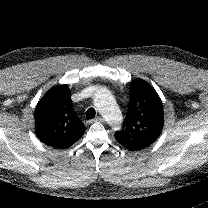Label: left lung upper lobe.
Wrapping results in <instances>:
<instances>
[{"instance_id": "5c2ea615", "label": "left lung upper lobe", "mask_w": 208, "mask_h": 208, "mask_svg": "<svg viewBox=\"0 0 208 208\" xmlns=\"http://www.w3.org/2000/svg\"><path fill=\"white\" fill-rule=\"evenodd\" d=\"M164 113L155 89L142 79L130 83V102L123 128L115 138L124 147L141 150L151 145L161 134Z\"/></svg>"}]
</instances>
